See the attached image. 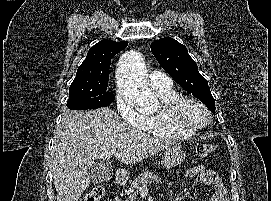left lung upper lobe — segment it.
Listing matches in <instances>:
<instances>
[{
  "instance_id": "1",
  "label": "left lung upper lobe",
  "mask_w": 271,
  "mask_h": 201,
  "mask_svg": "<svg viewBox=\"0 0 271 201\" xmlns=\"http://www.w3.org/2000/svg\"><path fill=\"white\" fill-rule=\"evenodd\" d=\"M150 47L162 68L215 114V101L208 82L198 72L197 64L188 54L187 48L171 37L154 41Z\"/></svg>"
}]
</instances>
